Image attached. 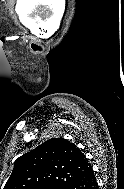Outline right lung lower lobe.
<instances>
[{"instance_id":"1","label":"right lung lower lobe","mask_w":124,"mask_h":189,"mask_svg":"<svg viewBox=\"0 0 124 189\" xmlns=\"http://www.w3.org/2000/svg\"><path fill=\"white\" fill-rule=\"evenodd\" d=\"M94 171L90 167L80 178L65 185L63 189H97Z\"/></svg>"}]
</instances>
